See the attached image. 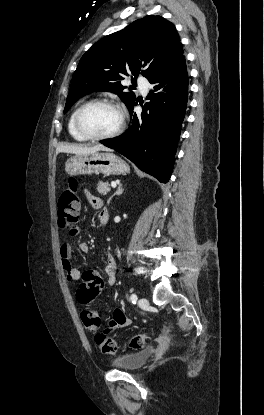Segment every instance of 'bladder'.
I'll return each mask as SVG.
<instances>
[{"label": "bladder", "mask_w": 264, "mask_h": 415, "mask_svg": "<svg viewBox=\"0 0 264 415\" xmlns=\"http://www.w3.org/2000/svg\"><path fill=\"white\" fill-rule=\"evenodd\" d=\"M154 351L153 345L145 346L136 352L128 353L112 360V365L122 370H138L147 363Z\"/></svg>", "instance_id": "obj_1"}]
</instances>
